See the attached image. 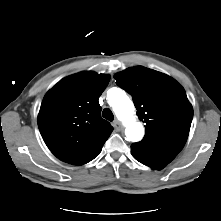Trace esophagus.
Masks as SVG:
<instances>
[{"instance_id": "esophagus-1", "label": "esophagus", "mask_w": 221, "mask_h": 221, "mask_svg": "<svg viewBox=\"0 0 221 221\" xmlns=\"http://www.w3.org/2000/svg\"><path fill=\"white\" fill-rule=\"evenodd\" d=\"M113 126L116 130H120L122 128L121 122L117 119L113 122Z\"/></svg>"}]
</instances>
